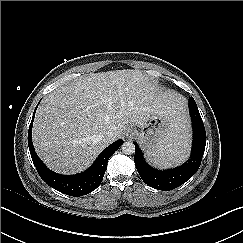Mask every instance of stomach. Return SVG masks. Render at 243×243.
Wrapping results in <instances>:
<instances>
[{
	"label": "stomach",
	"instance_id": "obj_1",
	"mask_svg": "<svg viewBox=\"0 0 243 243\" xmlns=\"http://www.w3.org/2000/svg\"><path fill=\"white\" fill-rule=\"evenodd\" d=\"M172 120L166 114H154L141 127L137 133L138 139L147 148L148 154L156 153L158 147L163 144L173 133Z\"/></svg>",
	"mask_w": 243,
	"mask_h": 243
}]
</instances>
